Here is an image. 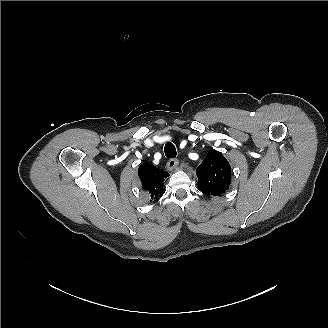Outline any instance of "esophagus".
<instances>
[{"label":"esophagus","instance_id":"1","mask_svg":"<svg viewBox=\"0 0 328 328\" xmlns=\"http://www.w3.org/2000/svg\"><path fill=\"white\" fill-rule=\"evenodd\" d=\"M178 165H179V160L176 158H172L167 162L166 168L169 171H172V170L176 169L178 167Z\"/></svg>","mask_w":328,"mask_h":328}]
</instances>
